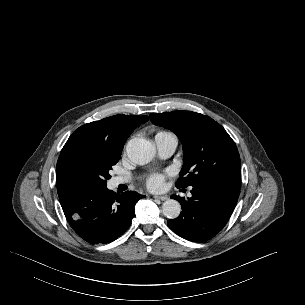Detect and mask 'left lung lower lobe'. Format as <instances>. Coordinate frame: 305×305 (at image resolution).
<instances>
[{
	"mask_svg": "<svg viewBox=\"0 0 305 305\" xmlns=\"http://www.w3.org/2000/svg\"><path fill=\"white\" fill-rule=\"evenodd\" d=\"M191 193L188 200L171 196L181 203L183 210L167 224L184 239L204 242L214 237L231 217L240 193V177L209 179L193 186Z\"/></svg>",
	"mask_w": 305,
	"mask_h": 305,
	"instance_id": "0a47b994",
	"label": "left lung lower lobe"
}]
</instances>
